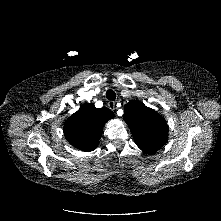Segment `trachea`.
<instances>
[{"label":"trachea","instance_id":"3493384b","mask_svg":"<svg viewBox=\"0 0 221 221\" xmlns=\"http://www.w3.org/2000/svg\"><path fill=\"white\" fill-rule=\"evenodd\" d=\"M106 97L108 100L114 101L116 99V94L113 90L109 89L106 92Z\"/></svg>","mask_w":221,"mask_h":221}]
</instances>
